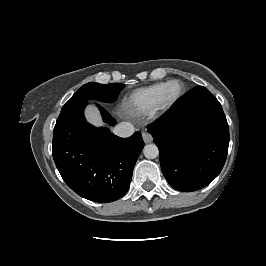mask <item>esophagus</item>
Returning <instances> with one entry per match:
<instances>
[{"label": "esophagus", "mask_w": 266, "mask_h": 266, "mask_svg": "<svg viewBox=\"0 0 266 266\" xmlns=\"http://www.w3.org/2000/svg\"><path fill=\"white\" fill-rule=\"evenodd\" d=\"M142 137H143V140H144L145 143H150L153 140L152 135L150 133H148V132H143L142 133Z\"/></svg>", "instance_id": "obj_1"}]
</instances>
